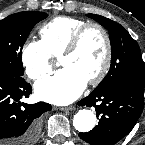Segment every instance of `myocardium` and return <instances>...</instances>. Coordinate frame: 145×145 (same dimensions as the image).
I'll return each instance as SVG.
<instances>
[{
  "label": "myocardium",
  "mask_w": 145,
  "mask_h": 145,
  "mask_svg": "<svg viewBox=\"0 0 145 145\" xmlns=\"http://www.w3.org/2000/svg\"><path fill=\"white\" fill-rule=\"evenodd\" d=\"M91 29H96L97 31H99L105 43V57H104L103 64L98 74L94 78L87 81L89 85L95 86V85L100 84L104 80V78L107 76L111 67L112 56H113L112 42H111L109 33L102 25L91 22L77 29L75 33L72 35L71 39L69 40L63 52L59 55V60H61L63 57L67 55L74 53L76 49L78 48L83 36Z\"/></svg>",
  "instance_id": "obj_1"
}]
</instances>
